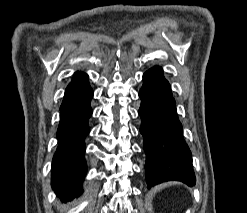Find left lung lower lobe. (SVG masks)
<instances>
[{
    "instance_id": "1",
    "label": "left lung lower lobe",
    "mask_w": 247,
    "mask_h": 213,
    "mask_svg": "<svg viewBox=\"0 0 247 213\" xmlns=\"http://www.w3.org/2000/svg\"><path fill=\"white\" fill-rule=\"evenodd\" d=\"M143 81L139 92V115L146 153L147 186L150 188L169 180L193 186L195 175L191 152L183 138L175 100L162 68L154 67L146 71Z\"/></svg>"
}]
</instances>
